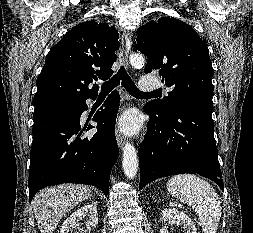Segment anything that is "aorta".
<instances>
[{
  "label": "aorta",
  "instance_id": "aorta-1",
  "mask_svg": "<svg viewBox=\"0 0 253 233\" xmlns=\"http://www.w3.org/2000/svg\"><path fill=\"white\" fill-rule=\"evenodd\" d=\"M129 61L130 64L135 68L143 67L145 62L144 57L141 54L131 55ZM122 167L125 175L129 179H133L136 176L138 171L137 152L135 147L128 142L125 144L123 148Z\"/></svg>",
  "mask_w": 253,
  "mask_h": 233
}]
</instances>
